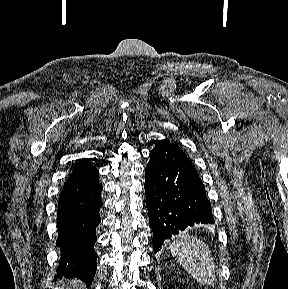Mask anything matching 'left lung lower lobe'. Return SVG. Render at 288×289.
Returning <instances> with one entry per match:
<instances>
[{
    "label": "left lung lower lobe",
    "mask_w": 288,
    "mask_h": 289,
    "mask_svg": "<svg viewBox=\"0 0 288 289\" xmlns=\"http://www.w3.org/2000/svg\"><path fill=\"white\" fill-rule=\"evenodd\" d=\"M145 169L146 206L156 253L172 235L194 223L213 224L205 187L186 154L161 140Z\"/></svg>",
    "instance_id": "obj_1"
}]
</instances>
